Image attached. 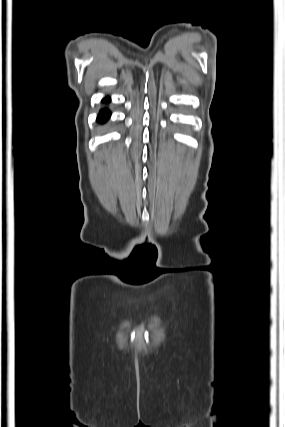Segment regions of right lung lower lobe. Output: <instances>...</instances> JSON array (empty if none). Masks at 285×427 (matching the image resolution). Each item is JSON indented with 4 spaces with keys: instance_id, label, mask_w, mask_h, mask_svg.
I'll return each mask as SVG.
<instances>
[{
    "instance_id": "98d812e1",
    "label": "right lung lower lobe",
    "mask_w": 285,
    "mask_h": 427,
    "mask_svg": "<svg viewBox=\"0 0 285 427\" xmlns=\"http://www.w3.org/2000/svg\"><path fill=\"white\" fill-rule=\"evenodd\" d=\"M109 100H110L109 97H106L104 99L105 102H108ZM109 117H110V112L107 109L102 110L99 113L98 121H100L101 123H104Z\"/></svg>"
}]
</instances>
